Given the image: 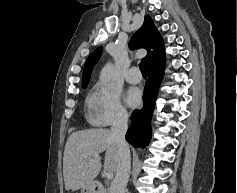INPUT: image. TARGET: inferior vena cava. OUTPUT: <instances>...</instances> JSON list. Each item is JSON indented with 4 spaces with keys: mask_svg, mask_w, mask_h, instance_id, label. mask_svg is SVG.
<instances>
[{
    "mask_svg": "<svg viewBox=\"0 0 237 193\" xmlns=\"http://www.w3.org/2000/svg\"><path fill=\"white\" fill-rule=\"evenodd\" d=\"M128 129L127 112H119L113 120L111 134L116 140L120 155V164L111 183L110 193H125L131 169L129 146L125 140Z\"/></svg>",
    "mask_w": 237,
    "mask_h": 193,
    "instance_id": "inferior-vena-cava-1",
    "label": "inferior vena cava"
}]
</instances>
